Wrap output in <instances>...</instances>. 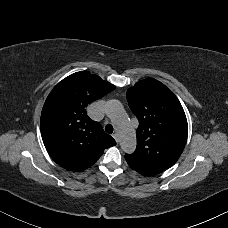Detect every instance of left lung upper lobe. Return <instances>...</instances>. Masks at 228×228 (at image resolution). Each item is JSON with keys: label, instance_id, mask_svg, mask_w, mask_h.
<instances>
[{"label": "left lung upper lobe", "instance_id": "5c2ea615", "mask_svg": "<svg viewBox=\"0 0 228 228\" xmlns=\"http://www.w3.org/2000/svg\"><path fill=\"white\" fill-rule=\"evenodd\" d=\"M127 100L139 120L137 148L129 156L161 169L170 168L183 152L188 135L186 115L179 100L153 78L129 88Z\"/></svg>", "mask_w": 228, "mask_h": 228}]
</instances>
